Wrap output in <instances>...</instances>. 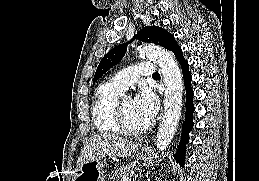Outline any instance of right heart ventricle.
<instances>
[{
  "label": "right heart ventricle",
  "instance_id": "right-heart-ventricle-1",
  "mask_svg": "<svg viewBox=\"0 0 259 181\" xmlns=\"http://www.w3.org/2000/svg\"><path fill=\"white\" fill-rule=\"evenodd\" d=\"M124 90L110 82L102 83L95 92V99L91 109L92 120L95 127L103 133L120 134L116 105Z\"/></svg>",
  "mask_w": 259,
  "mask_h": 181
}]
</instances>
